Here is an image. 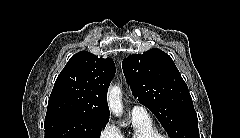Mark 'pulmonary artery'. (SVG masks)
<instances>
[{"label": "pulmonary artery", "mask_w": 240, "mask_h": 138, "mask_svg": "<svg viewBox=\"0 0 240 138\" xmlns=\"http://www.w3.org/2000/svg\"><path fill=\"white\" fill-rule=\"evenodd\" d=\"M132 116H147V110L140 105H134L132 108Z\"/></svg>", "instance_id": "obj_1"}]
</instances>
